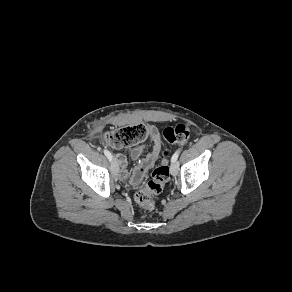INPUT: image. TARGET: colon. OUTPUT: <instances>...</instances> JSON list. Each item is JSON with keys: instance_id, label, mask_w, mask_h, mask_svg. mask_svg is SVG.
Wrapping results in <instances>:
<instances>
[{"instance_id": "1", "label": "colon", "mask_w": 292, "mask_h": 292, "mask_svg": "<svg viewBox=\"0 0 292 292\" xmlns=\"http://www.w3.org/2000/svg\"><path fill=\"white\" fill-rule=\"evenodd\" d=\"M150 128L144 124H135L107 131L103 142L107 145L120 148L135 144L148 138ZM189 128L185 124H177L163 130V139L170 144L183 143L189 138ZM169 151L165 149L159 165L152 171L151 179L144 188L134 194L135 202L146 210H153L156 206L154 197L160 194L169 179L168 166Z\"/></svg>"}]
</instances>
